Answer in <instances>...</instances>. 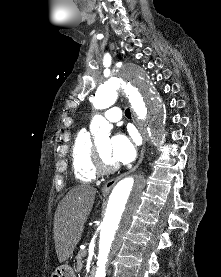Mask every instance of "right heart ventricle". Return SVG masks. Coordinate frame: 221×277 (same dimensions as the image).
<instances>
[{
    "instance_id": "right-heart-ventricle-1",
    "label": "right heart ventricle",
    "mask_w": 221,
    "mask_h": 277,
    "mask_svg": "<svg viewBox=\"0 0 221 277\" xmlns=\"http://www.w3.org/2000/svg\"><path fill=\"white\" fill-rule=\"evenodd\" d=\"M93 141L86 129H81L75 136L71 150L73 173L79 182L89 183L96 179L93 166Z\"/></svg>"
}]
</instances>
